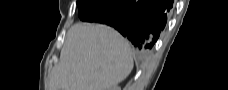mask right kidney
Here are the masks:
<instances>
[{
  "label": "right kidney",
  "mask_w": 228,
  "mask_h": 90,
  "mask_svg": "<svg viewBox=\"0 0 228 90\" xmlns=\"http://www.w3.org/2000/svg\"><path fill=\"white\" fill-rule=\"evenodd\" d=\"M109 90H121L119 86H113V88H110Z\"/></svg>",
  "instance_id": "obj_1"
}]
</instances>
